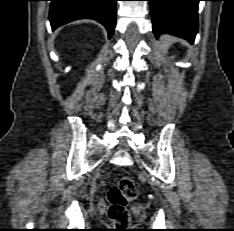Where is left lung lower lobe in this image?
Instances as JSON below:
<instances>
[{"label":"left lung lower lobe","mask_w":234,"mask_h":231,"mask_svg":"<svg viewBox=\"0 0 234 231\" xmlns=\"http://www.w3.org/2000/svg\"><path fill=\"white\" fill-rule=\"evenodd\" d=\"M153 32L171 33L193 43L198 31V2L201 0H148Z\"/></svg>","instance_id":"obj_1"}]
</instances>
